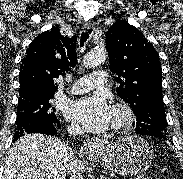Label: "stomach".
<instances>
[{
    "label": "stomach",
    "mask_w": 183,
    "mask_h": 179,
    "mask_svg": "<svg viewBox=\"0 0 183 179\" xmlns=\"http://www.w3.org/2000/svg\"><path fill=\"white\" fill-rule=\"evenodd\" d=\"M95 159L108 170L125 176L145 171L153 154L148 142L138 136L124 137L94 153Z\"/></svg>",
    "instance_id": "1"
}]
</instances>
